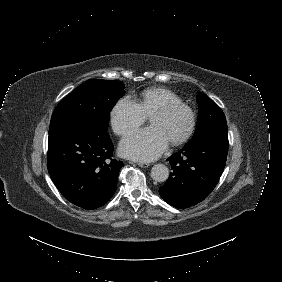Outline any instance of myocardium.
<instances>
[{"instance_id": "f54148a6", "label": "myocardium", "mask_w": 282, "mask_h": 282, "mask_svg": "<svg viewBox=\"0 0 282 282\" xmlns=\"http://www.w3.org/2000/svg\"><path fill=\"white\" fill-rule=\"evenodd\" d=\"M175 111H181L186 116V126L183 132L177 138L169 141L172 145H179L189 139L195 127V116H194L193 111L190 109V107H188L187 105H185L182 102H170L166 104L165 106L154 110L150 114L149 120L152 116H155V115L166 116Z\"/></svg>"}]
</instances>
